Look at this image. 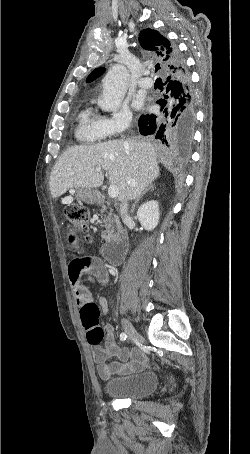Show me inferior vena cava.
Returning a JSON list of instances; mask_svg holds the SVG:
<instances>
[{
    "label": "inferior vena cava",
    "mask_w": 250,
    "mask_h": 454,
    "mask_svg": "<svg viewBox=\"0 0 250 454\" xmlns=\"http://www.w3.org/2000/svg\"><path fill=\"white\" fill-rule=\"evenodd\" d=\"M127 182L130 183L129 177H127ZM121 216L123 220L128 218V202L127 200H123L121 204Z\"/></svg>",
    "instance_id": "obj_1"
}]
</instances>
